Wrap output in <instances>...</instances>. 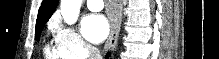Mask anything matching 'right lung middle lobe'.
Returning a JSON list of instances; mask_svg holds the SVG:
<instances>
[{
  "label": "right lung middle lobe",
  "mask_w": 219,
  "mask_h": 59,
  "mask_svg": "<svg viewBox=\"0 0 219 59\" xmlns=\"http://www.w3.org/2000/svg\"><path fill=\"white\" fill-rule=\"evenodd\" d=\"M43 27H44V26H41V27H37V28L35 29V36H36V40H37V41H39V37H40V34H41L42 30H43Z\"/></svg>",
  "instance_id": "right-lung-middle-lobe-1"
}]
</instances>
